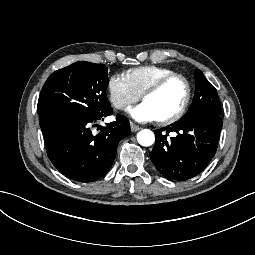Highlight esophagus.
<instances>
[{
  "instance_id": "34e87169",
  "label": "esophagus",
  "mask_w": 255,
  "mask_h": 255,
  "mask_svg": "<svg viewBox=\"0 0 255 255\" xmlns=\"http://www.w3.org/2000/svg\"><path fill=\"white\" fill-rule=\"evenodd\" d=\"M130 126L132 132L138 131L140 129V127L133 122H131Z\"/></svg>"
}]
</instances>
